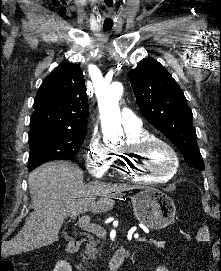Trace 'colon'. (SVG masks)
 <instances>
[{"label": "colon", "instance_id": "5ec220e1", "mask_svg": "<svg viewBox=\"0 0 221 271\" xmlns=\"http://www.w3.org/2000/svg\"><path fill=\"white\" fill-rule=\"evenodd\" d=\"M15 266L14 264L10 263V262H3L0 263V271H15Z\"/></svg>", "mask_w": 221, "mask_h": 271}]
</instances>
